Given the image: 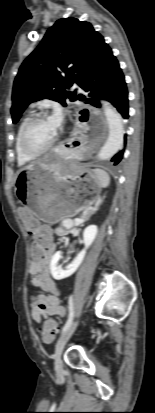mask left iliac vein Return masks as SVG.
Returning a JSON list of instances; mask_svg holds the SVG:
<instances>
[{"label":"left iliac vein","instance_id":"left-iliac-vein-1","mask_svg":"<svg viewBox=\"0 0 155 413\" xmlns=\"http://www.w3.org/2000/svg\"><path fill=\"white\" fill-rule=\"evenodd\" d=\"M78 325V321L74 322L58 339L56 346H55V352H54V368L57 373V375L61 376L63 375V363L61 359V355L64 349L65 344L67 341L70 339L72 334L74 333L76 327Z\"/></svg>","mask_w":155,"mask_h":413}]
</instances>
